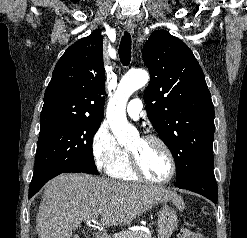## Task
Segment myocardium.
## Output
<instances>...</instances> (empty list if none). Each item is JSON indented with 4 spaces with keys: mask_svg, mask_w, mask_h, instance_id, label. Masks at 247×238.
I'll list each match as a JSON object with an SVG mask.
<instances>
[{
    "mask_svg": "<svg viewBox=\"0 0 247 238\" xmlns=\"http://www.w3.org/2000/svg\"><path fill=\"white\" fill-rule=\"evenodd\" d=\"M142 139L145 141L154 142L163 148V150L165 151V153L169 159L170 172L163 179L156 180V179L149 178L148 176H146L144 174V172L140 166L138 157L133 152L129 151L128 154H129L130 163H131V167L133 169V172L135 173V175L137 176L138 179H140L146 183L166 184V183L170 182L173 179V177L175 176L176 169H177L175 156H174L171 148L163 139H161L160 137L155 136V135H147V136H144Z\"/></svg>",
    "mask_w": 247,
    "mask_h": 238,
    "instance_id": "obj_1",
    "label": "myocardium"
}]
</instances>
